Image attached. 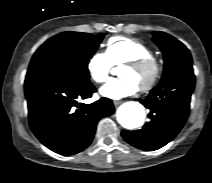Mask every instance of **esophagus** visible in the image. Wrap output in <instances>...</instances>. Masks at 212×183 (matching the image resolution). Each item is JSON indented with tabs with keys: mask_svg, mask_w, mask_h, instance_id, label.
<instances>
[{
	"mask_svg": "<svg viewBox=\"0 0 212 183\" xmlns=\"http://www.w3.org/2000/svg\"><path fill=\"white\" fill-rule=\"evenodd\" d=\"M122 102L121 101H113L115 107L119 106Z\"/></svg>",
	"mask_w": 212,
	"mask_h": 183,
	"instance_id": "obj_1",
	"label": "esophagus"
}]
</instances>
